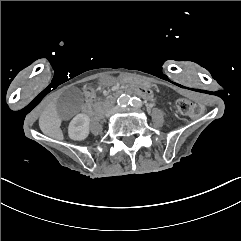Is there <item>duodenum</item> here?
I'll use <instances>...</instances> for the list:
<instances>
[{"label":"duodenum","instance_id":"1","mask_svg":"<svg viewBox=\"0 0 241 241\" xmlns=\"http://www.w3.org/2000/svg\"><path fill=\"white\" fill-rule=\"evenodd\" d=\"M127 92H135L141 96L147 97L149 96V93L144 90V89H139V88H128L126 90ZM123 94V91H117L116 93H114L113 95H110L103 103L98 104L96 106H94L91 110H90V114L93 118L98 119L100 117H102V115L104 114L105 110H107L111 104L113 103V101L115 100L116 97L120 96Z\"/></svg>","mask_w":241,"mask_h":241}]
</instances>
